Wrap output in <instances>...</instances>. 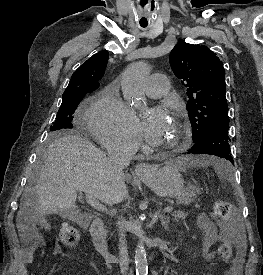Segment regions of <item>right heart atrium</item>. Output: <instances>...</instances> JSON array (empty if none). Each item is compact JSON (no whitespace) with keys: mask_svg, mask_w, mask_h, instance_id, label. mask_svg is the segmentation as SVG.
Wrapping results in <instances>:
<instances>
[{"mask_svg":"<svg viewBox=\"0 0 263 275\" xmlns=\"http://www.w3.org/2000/svg\"><path fill=\"white\" fill-rule=\"evenodd\" d=\"M85 123L106 148L132 152L141 143L132 111L112 88L95 96L86 111Z\"/></svg>","mask_w":263,"mask_h":275,"instance_id":"d8ad5b80","label":"right heart atrium"}]
</instances>
